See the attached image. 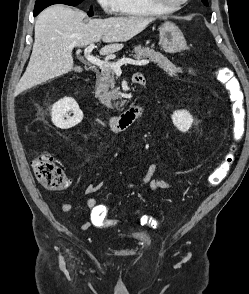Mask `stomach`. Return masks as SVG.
Returning <instances> with one entry per match:
<instances>
[{
    "instance_id": "obj_1",
    "label": "stomach",
    "mask_w": 249,
    "mask_h": 294,
    "mask_svg": "<svg viewBox=\"0 0 249 294\" xmlns=\"http://www.w3.org/2000/svg\"><path fill=\"white\" fill-rule=\"evenodd\" d=\"M159 44L168 53L181 52L187 47L183 33L171 22H165L159 27Z\"/></svg>"
}]
</instances>
